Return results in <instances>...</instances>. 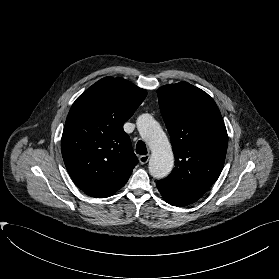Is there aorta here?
<instances>
[{"instance_id":"1","label":"aorta","mask_w":279,"mask_h":279,"mask_svg":"<svg viewBox=\"0 0 279 279\" xmlns=\"http://www.w3.org/2000/svg\"><path fill=\"white\" fill-rule=\"evenodd\" d=\"M137 128L152 151L149 173L158 179L166 177L174 165V155L166 134L160 124L149 114H142L138 117Z\"/></svg>"}]
</instances>
